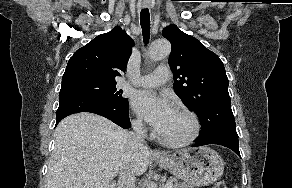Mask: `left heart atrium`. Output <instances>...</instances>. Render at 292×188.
<instances>
[{
  "label": "left heart atrium",
  "instance_id": "left-heart-atrium-1",
  "mask_svg": "<svg viewBox=\"0 0 292 188\" xmlns=\"http://www.w3.org/2000/svg\"><path fill=\"white\" fill-rule=\"evenodd\" d=\"M137 114L162 132L175 109L167 97L158 96L151 90L139 91L132 102Z\"/></svg>",
  "mask_w": 292,
  "mask_h": 188
}]
</instances>
